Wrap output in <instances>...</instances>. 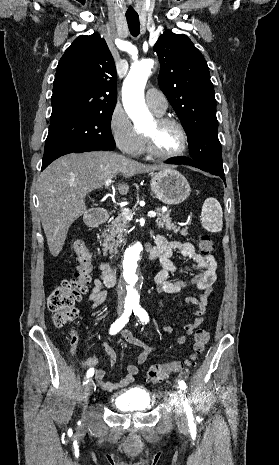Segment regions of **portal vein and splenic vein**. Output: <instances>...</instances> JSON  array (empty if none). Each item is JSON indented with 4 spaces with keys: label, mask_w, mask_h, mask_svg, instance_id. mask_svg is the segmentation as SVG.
I'll return each instance as SVG.
<instances>
[{
    "label": "portal vein and splenic vein",
    "mask_w": 279,
    "mask_h": 465,
    "mask_svg": "<svg viewBox=\"0 0 279 465\" xmlns=\"http://www.w3.org/2000/svg\"><path fill=\"white\" fill-rule=\"evenodd\" d=\"M112 183V179H108L105 181V187H109L110 184ZM121 214L126 218L127 220H132L133 214L128 208H122L121 209ZM148 217L149 218H155L156 217V212L150 211L148 212Z\"/></svg>",
    "instance_id": "1"
}]
</instances>
